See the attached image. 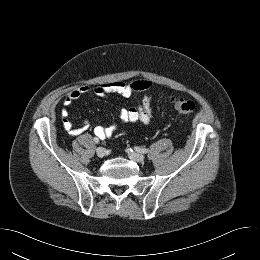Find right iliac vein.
<instances>
[{
	"label": "right iliac vein",
	"mask_w": 260,
	"mask_h": 260,
	"mask_svg": "<svg viewBox=\"0 0 260 260\" xmlns=\"http://www.w3.org/2000/svg\"><path fill=\"white\" fill-rule=\"evenodd\" d=\"M96 154L99 158H103L106 155V150L103 147H98L96 149Z\"/></svg>",
	"instance_id": "63e3f726"
}]
</instances>
